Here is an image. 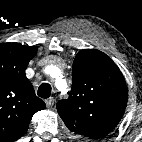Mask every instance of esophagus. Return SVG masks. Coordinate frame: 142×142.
Returning <instances> with one entry per match:
<instances>
[{
    "label": "esophagus",
    "instance_id": "obj_1",
    "mask_svg": "<svg viewBox=\"0 0 142 142\" xmlns=\"http://www.w3.org/2000/svg\"><path fill=\"white\" fill-rule=\"evenodd\" d=\"M45 103H46L47 108H51L53 106V104H54V98L53 97L48 98L45 101Z\"/></svg>",
    "mask_w": 142,
    "mask_h": 142
}]
</instances>
